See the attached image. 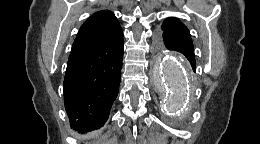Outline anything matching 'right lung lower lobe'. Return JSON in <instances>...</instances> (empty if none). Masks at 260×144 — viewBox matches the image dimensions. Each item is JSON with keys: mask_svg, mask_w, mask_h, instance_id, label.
Instances as JSON below:
<instances>
[{"mask_svg": "<svg viewBox=\"0 0 260 144\" xmlns=\"http://www.w3.org/2000/svg\"><path fill=\"white\" fill-rule=\"evenodd\" d=\"M123 35L72 49L64 78V103L71 127L80 133L102 127L115 101L123 59Z\"/></svg>", "mask_w": 260, "mask_h": 144, "instance_id": "obj_1", "label": "right lung lower lobe"}]
</instances>
